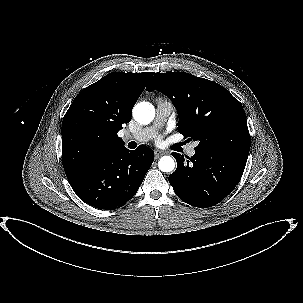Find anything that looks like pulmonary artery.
<instances>
[{
    "instance_id": "e3ab8cb5",
    "label": "pulmonary artery",
    "mask_w": 303,
    "mask_h": 303,
    "mask_svg": "<svg viewBox=\"0 0 303 303\" xmlns=\"http://www.w3.org/2000/svg\"><path fill=\"white\" fill-rule=\"evenodd\" d=\"M172 104L167 100L158 99L157 100V110L154 124L150 127L143 128L135 133H127L124 135L123 140L125 142H137L143 143L152 138L157 129L162 127L168 120L172 112ZM198 143L194 142L187 147V154L189 156H194L196 153V147Z\"/></svg>"
}]
</instances>
